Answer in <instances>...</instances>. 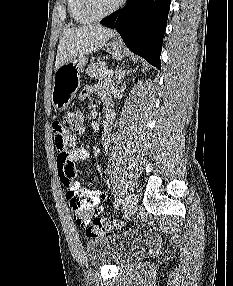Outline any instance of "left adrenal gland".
<instances>
[{"mask_svg":"<svg viewBox=\"0 0 233 286\" xmlns=\"http://www.w3.org/2000/svg\"><path fill=\"white\" fill-rule=\"evenodd\" d=\"M124 67H121L117 72H116V85H119L123 78L128 74L131 70H123ZM137 69V68H136ZM135 71V69L133 70Z\"/></svg>","mask_w":233,"mask_h":286,"instance_id":"obj_1","label":"left adrenal gland"}]
</instances>
